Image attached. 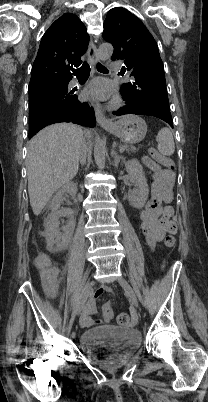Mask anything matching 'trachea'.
<instances>
[{"instance_id":"trachea-1","label":"trachea","mask_w":208,"mask_h":402,"mask_svg":"<svg viewBox=\"0 0 208 402\" xmlns=\"http://www.w3.org/2000/svg\"><path fill=\"white\" fill-rule=\"evenodd\" d=\"M97 70L99 72H108V69L104 67L101 63L97 64ZM73 71V75H75L77 78H84L88 77L90 74V67L88 63L84 62L83 65L80 68H77Z\"/></svg>"}]
</instances>
